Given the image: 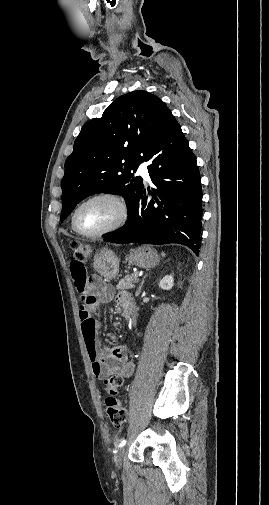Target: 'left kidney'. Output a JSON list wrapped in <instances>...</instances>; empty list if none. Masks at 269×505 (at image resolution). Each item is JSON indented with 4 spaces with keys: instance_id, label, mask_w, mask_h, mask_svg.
<instances>
[{
    "instance_id": "1",
    "label": "left kidney",
    "mask_w": 269,
    "mask_h": 505,
    "mask_svg": "<svg viewBox=\"0 0 269 505\" xmlns=\"http://www.w3.org/2000/svg\"><path fill=\"white\" fill-rule=\"evenodd\" d=\"M174 285V279L172 275L164 276L160 282L159 287L163 290H170Z\"/></svg>"
}]
</instances>
